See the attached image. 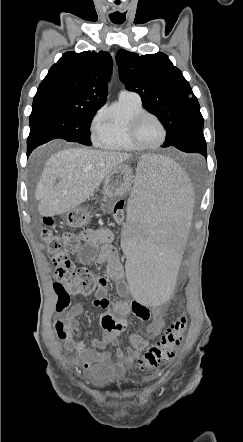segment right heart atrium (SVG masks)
<instances>
[{
  "instance_id": "1",
  "label": "right heart atrium",
  "mask_w": 243,
  "mask_h": 442,
  "mask_svg": "<svg viewBox=\"0 0 243 442\" xmlns=\"http://www.w3.org/2000/svg\"><path fill=\"white\" fill-rule=\"evenodd\" d=\"M102 112H97L94 117L92 118V121L90 123V130L92 135L94 136L95 132L99 129V127L101 126L102 123Z\"/></svg>"
}]
</instances>
